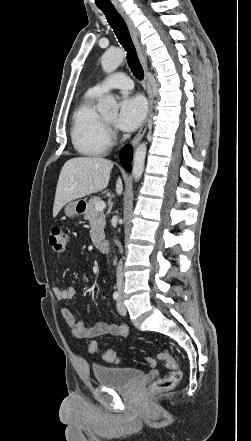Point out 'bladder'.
<instances>
[{"label": "bladder", "instance_id": "bladder-1", "mask_svg": "<svg viewBox=\"0 0 251 441\" xmlns=\"http://www.w3.org/2000/svg\"><path fill=\"white\" fill-rule=\"evenodd\" d=\"M92 370L100 385L113 389H127L144 376L142 370L130 367L94 365Z\"/></svg>", "mask_w": 251, "mask_h": 441}]
</instances>
